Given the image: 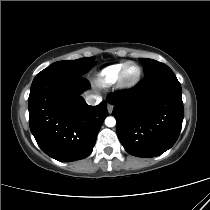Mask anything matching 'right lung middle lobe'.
Here are the masks:
<instances>
[{
	"label": "right lung middle lobe",
	"instance_id": "1",
	"mask_svg": "<svg viewBox=\"0 0 210 210\" xmlns=\"http://www.w3.org/2000/svg\"><path fill=\"white\" fill-rule=\"evenodd\" d=\"M95 63L96 61L92 57L81 58L78 60L58 61L51 64L44 70H42L39 74H45V73H50V72H60V73L83 75Z\"/></svg>",
	"mask_w": 210,
	"mask_h": 210
}]
</instances>
